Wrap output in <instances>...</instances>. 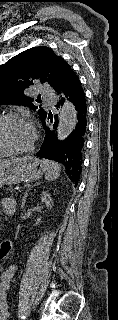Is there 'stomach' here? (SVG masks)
<instances>
[{"label":"stomach","instance_id":"stomach-1","mask_svg":"<svg viewBox=\"0 0 118 320\" xmlns=\"http://www.w3.org/2000/svg\"><path fill=\"white\" fill-rule=\"evenodd\" d=\"M45 171L43 161L33 156L12 157L0 161V187L38 180Z\"/></svg>","mask_w":118,"mask_h":320}]
</instances>
